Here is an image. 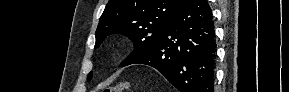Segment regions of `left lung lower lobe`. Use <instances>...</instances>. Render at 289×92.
I'll return each instance as SVG.
<instances>
[{
    "label": "left lung lower lobe",
    "mask_w": 289,
    "mask_h": 92,
    "mask_svg": "<svg viewBox=\"0 0 289 92\" xmlns=\"http://www.w3.org/2000/svg\"><path fill=\"white\" fill-rule=\"evenodd\" d=\"M215 59L211 8L207 0H186L156 46L130 64L154 67L181 92H214Z\"/></svg>",
    "instance_id": "1"
}]
</instances>
